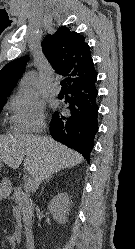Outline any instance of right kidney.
<instances>
[{
  "instance_id": "right-kidney-1",
  "label": "right kidney",
  "mask_w": 135,
  "mask_h": 249,
  "mask_svg": "<svg viewBox=\"0 0 135 249\" xmlns=\"http://www.w3.org/2000/svg\"><path fill=\"white\" fill-rule=\"evenodd\" d=\"M48 209L55 221L63 224L67 221L70 211V200L67 193H59L49 203Z\"/></svg>"
}]
</instances>
